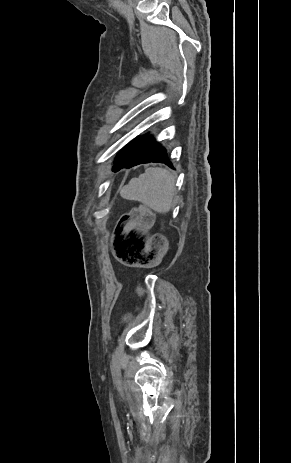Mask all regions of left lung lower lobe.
<instances>
[{"label": "left lung lower lobe", "mask_w": 291, "mask_h": 463, "mask_svg": "<svg viewBox=\"0 0 291 463\" xmlns=\"http://www.w3.org/2000/svg\"><path fill=\"white\" fill-rule=\"evenodd\" d=\"M149 162H160L172 166L168 159L166 149L151 136H147L141 145L125 156L116 158L113 170L118 171L123 167L130 168L138 164Z\"/></svg>", "instance_id": "1"}]
</instances>
